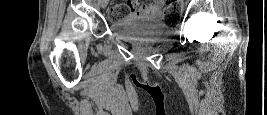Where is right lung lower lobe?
<instances>
[{
	"label": "right lung lower lobe",
	"instance_id": "1",
	"mask_svg": "<svg viewBox=\"0 0 267 115\" xmlns=\"http://www.w3.org/2000/svg\"><path fill=\"white\" fill-rule=\"evenodd\" d=\"M144 89H146L147 91H150L151 90L150 88H146V87H144Z\"/></svg>",
	"mask_w": 267,
	"mask_h": 115
}]
</instances>
